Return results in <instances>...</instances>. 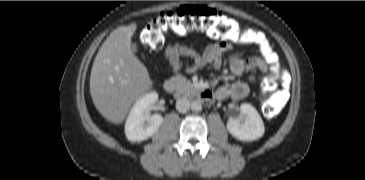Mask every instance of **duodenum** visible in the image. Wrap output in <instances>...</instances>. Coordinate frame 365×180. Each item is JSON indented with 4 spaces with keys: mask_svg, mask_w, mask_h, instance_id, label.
Returning <instances> with one entry per match:
<instances>
[{
    "mask_svg": "<svg viewBox=\"0 0 365 180\" xmlns=\"http://www.w3.org/2000/svg\"><path fill=\"white\" fill-rule=\"evenodd\" d=\"M175 86H176L175 81L171 79H167L163 82V89L166 92L174 91ZM197 96L199 100L202 101L203 103H210L214 98L213 93L209 89H204V88L197 89Z\"/></svg>",
    "mask_w": 365,
    "mask_h": 180,
    "instance_id": "obj_1",
    "label": "duodenum"
}]
</instances>
